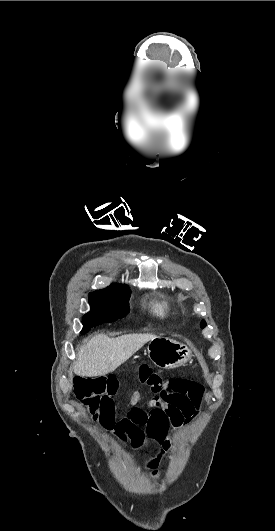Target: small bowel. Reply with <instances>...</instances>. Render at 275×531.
<instances>
[{
    "label": "small bowel",
    "mask_w": 275,
    "mask_h": 531,
    "mask_svg": "<svg viewBox=\"0 0 275 531\" xmlns=\"http://www.w3.org/2000/svg\"><path fill=\"white\" fill-rule=\"evenodd\" d=\"M137 374L141 377L143 384H150L151 394L160 395V398H153L146 406L134 405L127 414L119 419H113L105 424L120 443H124L128 438L134 448H139L145 436L163 442V447L156 454L146 457L143 464L149 469L152 478L159 474L158 466L171 447L172 437L181 429L186 427L195 409L202 405L200 400H193L192 404L184 397L189 396L200 398L204 394V385L196 383L194 390H187L185 384L192 382L190 373H166L163 384L160 382V375L154 374L148 367H141ZM121 382L119 375H108L106 377V388L100 397V413L104 417L116 415L115 400L118 396V388ZM174 394H182L180 397Z\"/></svg>",
    "instance_id": "c3829d8e"
}]
</instances>
